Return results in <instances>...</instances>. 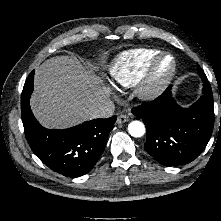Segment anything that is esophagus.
Wrapping results in <instances>:
<instances>
[{"label":"esophagus","instance_id":"obj_1","mask_svg":"<svg viewBox=\"0 0 221 221\" xmlns=\"http://www.w3.org/2000/svg\"><path fill=\"white\" fill-rule=\"evenodd\" d=\"M127 121H129V117H128L127 115H125V114H121V115L118 116V118H117V123H118V124H122V123H125V122H127Z\"/></svg>","mask_w":221,"mask_h":221}]
</instances>
